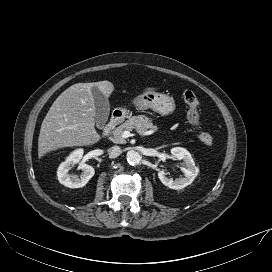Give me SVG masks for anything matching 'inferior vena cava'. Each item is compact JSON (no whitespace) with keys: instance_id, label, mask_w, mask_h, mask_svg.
<instances>
[{"instance_id":"obj_1","label":"inferior vena cava","mask_w":272,"mask_h":272,"mask_svg":"<svg viewBox=\"0 0 272 272\" xmlns=\"http://www.w3.org/2000/svg\"><path fill=\"white\" fill-rule=\"evenodd\" d=\"M108 154L110 158H116L121 154V148L118 146H113L109 148Z\"/></svg>"}]
</instances>
